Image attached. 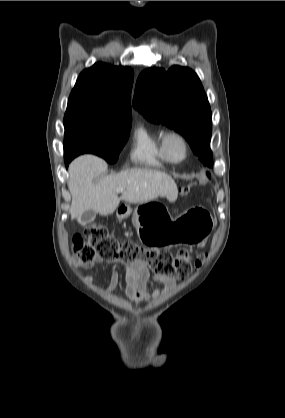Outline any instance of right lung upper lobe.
Wrapping results in <instances>:
<instances>
[{"mask_svg": "<svg viewBox=\"0 0 285 418\" xmlns=\"http://www.w3.org/2000/svg\"><path fill=\"white\" fill-rule=\"evenodd\" d=\"M133 77L134 72L130 67L94 64L79 75L65 114L131 125Z\"/></svg>", "mask_w": 285, "mask_h": 418, "instance_id": "1", "label": "right lung upper lobe"}]
</instances>
